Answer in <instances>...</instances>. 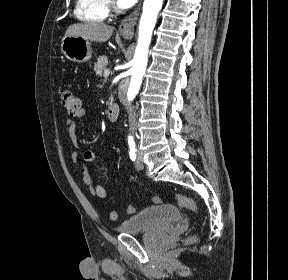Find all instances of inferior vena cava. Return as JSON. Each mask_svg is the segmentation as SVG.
Instances as JSON below:
<instances>
[{"label": "inferior vena cava", "mask_w": 288, "mask_h": 280, "mask_svg": "<svg viewBox=\"0 0 288 280\" xmlns=\"http://www.w3.org/2000/svg\"><path fill=\"white\" fill-rule=\"evenodd\" d=\"M130 83V78H121L120 85H118V94L120 99H117V104H123V109H128V103L125 97H128V86ZM137 110V105H130L128 109V126H131V137H140V125L137 119L138 114L135 113Z\"/></svg>", "instance_id": "inferior-vena-cava-1"}]
</instances>
